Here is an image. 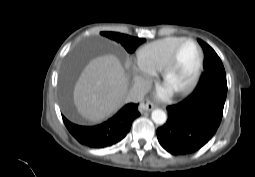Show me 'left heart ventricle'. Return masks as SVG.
Here are the masks:
<instances>
[{"instance_id": "left-heart-ventricle-1", "label": "left heart ventricle", "mask_w": 255, "mask_h": 177, "mask_svg": "<svg viewBox=\"0 0 255 177\" xmlns=\"http://www.w3.org/2000/svg\"><path fill=\"white\" fill-rule=\"evenodd\" d=\"M198 60L199 54L196 47L191 43L185 44L165 84L175 91L186 85L195 73Z\"/></svg>"}]
</instances>
